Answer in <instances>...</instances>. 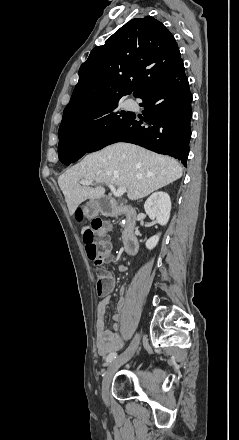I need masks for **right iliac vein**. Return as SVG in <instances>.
<instances>
[{"mask_svg": "<svg viewBox=\"0 0 239 440\" xmlns=\"http://www.w3.org/2000/svg\"><path fill=\"white\" fill-rule=\"evenodd\" d=\"M140 342V334L137 333L131 341L129 347L117 358H115L107 368L102 380V396L107 399L109 396V388L115 372L131 359Z\"/></svg>", "mask_w": 239, "mask_h": 440, "instance_id": "obj_1", "label": "right iliac vein"}]
</instances>
